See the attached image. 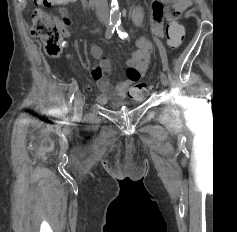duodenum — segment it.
Returning <instances> with one entry per match:
<instances>
[{
	"label": "duodenum",
	"mask_w": 237,
	"mask_h": 232,
	"mask_svg": "<svg viewBox=\"0 0 237 232\" xmlns=\"http://www.w3.org/2000/svg\"><path fill=\"white\" fill-rule=\"evenodd\" d=\"M96 1L97 0H81L82 4L87 7L95 5Z\"/></svg>",
	"instance_id": "410a0bca"
}]
</instances>
